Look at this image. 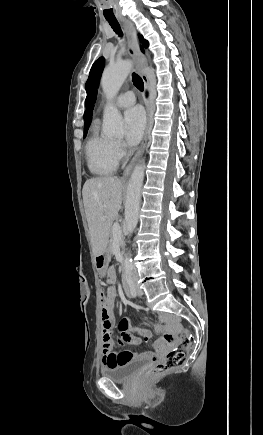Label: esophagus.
Returning a JSON list of instances; mask_svg holds the SVG:
<instances>
[{
	"mask_svg": "<svg viewBox=\"0 0 263 435\" xmlns=\"http://www.w3.org/2000/svg\"><path fill=\"white\" fill-rule=\"evenodd\" d=\"M127 38H128V51L130 56L133 58L134 62H135V66L136 69L138 71V73L141 75L142 80L144 82L146 91H147V96L145 97V108H146V127H145V133H144V137L143 140L141 142L140 147L138 148L137 152L135 153V155L133 156V158L131 159V161L129 162L128 166L126 167L124 173H123V178H127L130 174V172L132 171L133 167L135 166L136 162L139 160V158L142 156L144 149L146 147L147 144V140H148V133H149V128H150V102L148 99V94L150 91V83L148 80V77L145 75L144 70L146 68V64L142 59L139 47H138V43H137V38H136V31L135 28L133 26V24L127 20V19H121Z\"/></svg>",
	"mask_w": 263,
	"mask_h": 435,
	"instance_id": "esophagus-1",
	"label": "esophagus"
}]
</instances>
